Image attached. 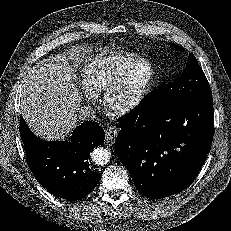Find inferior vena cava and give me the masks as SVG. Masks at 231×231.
I'll use <instances>...</instances> for the list:
<instances>
[{
  "label": "inferior vena cava",
  "mask_w": 231,
  "mask_h": 231,
  "mask_svg": "<svg viewBox=\"0 0 231 231\" xmlns=\"http://www.w3.org/2000/svg\"><path fill=\"white\" fill-rule=\"evenodd\" d=\"M78 117L82 121L94 120L96 112L91 106H83L78 110Z\"/></svg>",
  "instance_id": "1"
}]
</instances>
